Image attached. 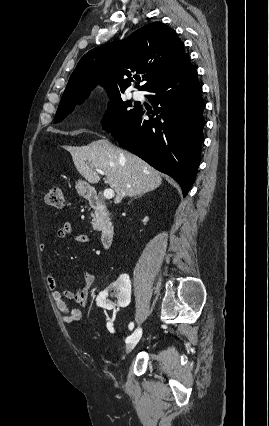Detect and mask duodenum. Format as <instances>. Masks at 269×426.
Returning a JSON list of instances; mask_svg holds the SVG:
<instances>
[{
  "label": "duodenum",
  "mask_w": 269,
  "mask_h": 426,
  "mask_svg": "<svg viewBox=\"0 0 269 426\" xmlns=\"http://www.w3.org/2000/svg\"><path fill=\"white\" fill-rule=\"evenodd\" d=\"M86 198L96 212V226L101 232V243L105 248H108L111 246L115 235L114 226L110 220L108 209L99 193L88 191Z\"/></svg>",
  "instance_id": "obj_1"
}]
</instances>
